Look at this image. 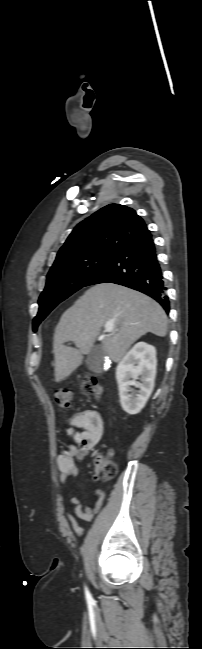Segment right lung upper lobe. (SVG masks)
<instances>
[{"mask_svg": "<svg viewBox=\"0 0 202 649\" xmlns=\"http://www.w3.org/2000/svg\"><path fill=\"white\" fill-rule=\"evenodd\" d=\"M149 233L134 209L120 204L107 205L80 222L59 250L54 263L89 251L118 253Z\"/></svg>", "mask_w": 202, "mask_h": 649, "instance_id": "right-lung-upper-lobe-1", "label": "right lung upper lobe"}]
</instances>
